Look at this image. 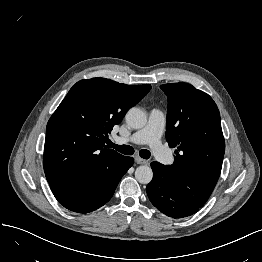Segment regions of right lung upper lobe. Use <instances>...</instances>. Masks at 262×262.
I'll list each match as a JSON object with an SVG mask.
<instances>
[{
    "instance_id": "cb5924a9",
    "label": "right lung upper lobe",
    "mask_w": 262,
    "mask_h": 262,
    "mask_svg": "<svg viewBox=\"0 0 262 262\" xmlns=\"http://www.w3.org/2000/svg\"><path fill=\"white\" fill-rule=\"evenodd\" d=\"M150 89L105 78L77 82L46 127L43 161L50 187L106 183L123 157L105 145L108 134Z\"/></svg>"
}]
</instances>
